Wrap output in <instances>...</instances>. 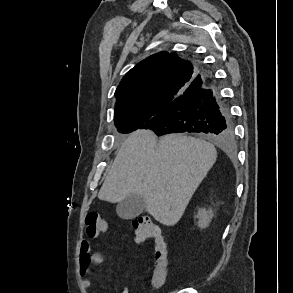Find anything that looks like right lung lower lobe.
<instances>
[{
    "mask_svg": "<svg viewBox=\"0 0 293 293\" xmlns=\"http://www.w3.org/2000/svg\"><path fill=\"white\" fill-rule=\"evenodd\" d=\"M152 129L157 135L177 132L206 133L223 144L233 140V126L228 108L198 75L171 103L169 108L151 118L140 129Z\"/></svg>",
    "mask_w": 293,
    "mask_h": 293,
    "instance_id": "obj_1",
    "label": "right lung lower lobe"
}]
</instances>
